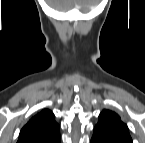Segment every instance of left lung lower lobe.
<instances>
[{"instance_id": "1", "label": "left lung lower lobe", "mask_w": 145, "mask_h": 143, "mask_svg": "<svg viewBox=\"0 0 145 143\" xmlns=\"http://www.w3.org/2000/svg\"><path fill=\"white\" fill-rule=\"evenodd\" d=\"M91 143H104V142L98 140V139L95 138V137H92V139H91Z\"/></svg>"}]
</instances>
